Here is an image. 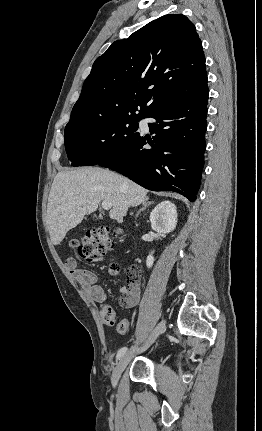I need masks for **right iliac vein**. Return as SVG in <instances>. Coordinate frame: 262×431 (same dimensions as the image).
<instances>
[{"instance_id": "right-iliac-vein-1", "label": "right iliac vein", "mask_w": 262, "mask_h": 431, "mask_svg": "<svg viewBox=\"0 0 262 431\" xmlns=\"http://www.w3.org/2000/svg\"><path fill=\"white\" fill-rule=\"evenodd\" d=\"M164 328H165V321H161L153 330V332L149 335V337L140 346L134 347L133 349H131L130 351H128L123 355V357L118 362L112 374V384L114 386L117 385L122 372L129 364L131 359L136 354L146 351L152 345V343L155 341L158 335L164 331Z\"/></svg>"}]
</instances>
